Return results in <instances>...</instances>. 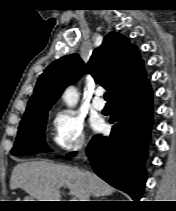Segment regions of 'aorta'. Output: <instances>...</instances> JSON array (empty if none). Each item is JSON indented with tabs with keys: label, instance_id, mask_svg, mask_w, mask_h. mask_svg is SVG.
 Instances as JSON below:
<instances>
[{
	"label": "aorta",
	"instance_id": "aorta-1",
	"mask_svg": "<svg viewBox=\"0 0 176 211\" xmlns=\"http://www.w3.org/2000/svg\"><path fill=\"white\" fill-rule=\"evenodd\" d=\"M63 99L69 107H73L78 101V93L73 87H70L65 91Z\"/></svg>",
	"mask_w": 176,
	"mask_h": 211
}]
</instances>
